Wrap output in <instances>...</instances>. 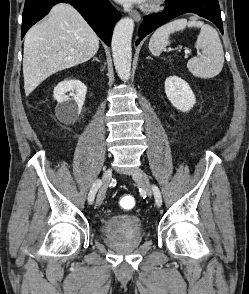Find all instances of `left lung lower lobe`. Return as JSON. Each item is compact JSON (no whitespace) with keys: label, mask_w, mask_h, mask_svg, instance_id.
Instances as JSON below:
<instances>
[{"label":"left lung lower lobe","mask_w":249,"mask_h":294,"mask_svg":"<svg viewBox=\"0 0 249 294\" xmlns=\"http://www.w3.org/2000/svg\"><path fill=\"white\" fill-rule=\"evenodd\" d=\"M184 13H195L212 21L223 34L218 0H167V7L159 13L144 17L140 25L136 45L149 33Z\"/></svg>","instance_id":"1"}]
</instances>
